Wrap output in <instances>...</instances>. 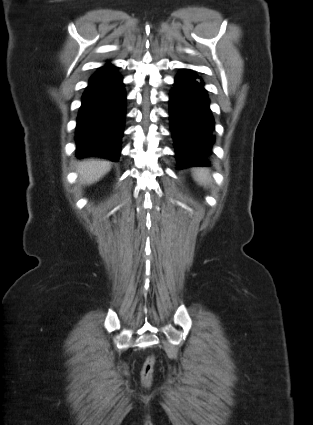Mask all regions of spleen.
Wrapping results in <instances>:
<instances>
[{
    "label": "spleen",
    "mask_w": 313,
    "mask_h": 425,
    "mask_svg": "<svg viewBox=\"0 0 313 425\" xmlns=\"http://www.w3.org/2000/svg\"><path fill=\"white\" fill-rule=\"evenodd\" d=\"M193 178L199 185L203 186H206L211 181L209 171L203 168L194 169Z\"/></svg>",
    "instance_id": "spleen-1"
}]
</instances>
